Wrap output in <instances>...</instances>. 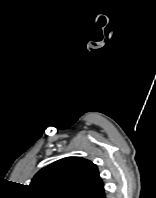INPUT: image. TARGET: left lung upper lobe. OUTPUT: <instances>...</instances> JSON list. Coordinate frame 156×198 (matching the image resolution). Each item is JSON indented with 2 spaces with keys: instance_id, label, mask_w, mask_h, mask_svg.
I'll return each mask as SVG.
<instances>
[{
  "instance_id": "5c2ea615",
  "label": "left lung upper lobe",
  "mask_w": 156,
  "mask_h": 198,
  "mask_svg": "<svg viewBox=\"0 0 156 198\" xmlns=\"http://www.w3.org/2000/svg\"><path fill=\"white\" fill-rule=\"evenodd\" d=\"M29 186L36 198H99L104 193L97 166L80 157H67L48 165Z\"/></svg>"
}]
</instances>
